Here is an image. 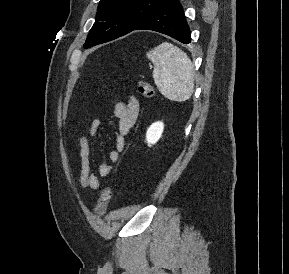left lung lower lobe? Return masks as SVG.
Listing matches in <instances>:
<instances>
[{
	"label": "left lung lower lobe",
	"mask_w": 289,
	"mask_h": 274,
	"mask_svg": "<svg viewBox=\"0 0 289 274\" xmlns=\"http://www.w3.org/2000/svg\"><path fill=\"white\" fill-rule=\"evenodd\" d=\"M153 30L182 43L191 41L190 29L179 0H167L134 30Z\"/></svg>",
	"instance_id": "left-lung-lower-lobe-1"
}]
</instances>
